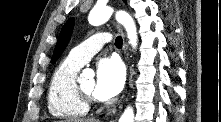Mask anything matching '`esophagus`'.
<instances>
[{
	"label": "esophagus",
	"instance_id": "1",
	"mask_svg": "<svg viewBox=\"0 0 221 122\" xmlns=\"http://www.w3.org/2000/svg\"><path fill=\"white\" fill-rule=\"evenodd\" d=\"M118 28H119V30L121 31L122 36H123V48H124V51H125V60H126V62H128V55H127V53H126L127 44H126L125 39H124V37H125V36H124V32H123V29H122L121 26H119ZM110 122H116V118L113 119V120H111Z\"/></svg>",
	"mask_w": 221,
	"mask_h": 122
}]
</instances>
